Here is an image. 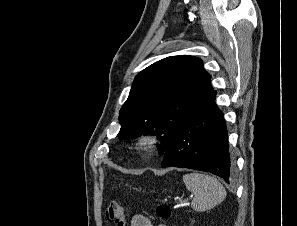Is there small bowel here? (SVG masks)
<instances>
[{"instance_id":"1","label":"small bowel","mask_w":297,"mask_h":226,"mask_svg":"<svg viewBox=\"0 0 297 226\" xmlns=\"http://www.w3.org/2000/svg\"><path fill=\"white\" fill-rule=\"evenodd\" d=\"M131 226H153L151 221L143 215H134L131 219ZM157 226H166L159 224Z\"/></svg>"}]
</instances>
